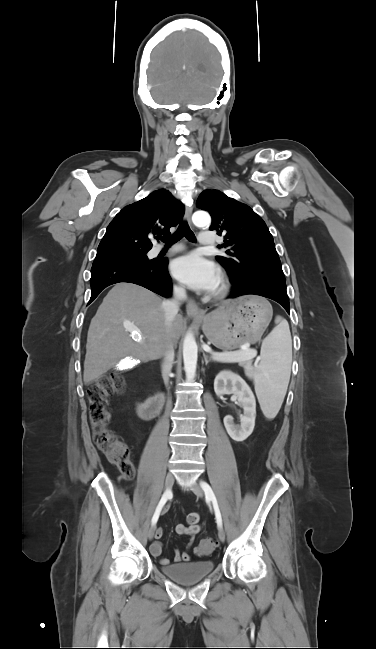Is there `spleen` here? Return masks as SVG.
<instances>
[{
    "mask_svg": "<svg viewBox=\"0 0 376 649\" xmlns=\"http://www.w3.org/2000/svg\"><path fill=\"white\" fill-rule=\"evenodd\" d=\"M277 326L263 340L262 359L257 368L246 372L254 381L255 392L264 415L274 418L287 392L292 363V339L288 322L276 317Z\"/></svg>",
    "mask_w": 376,
    "mask_h": 649,
    "instance_id": "3e777b00",
    "label": "spleen"
}]
</instances>
